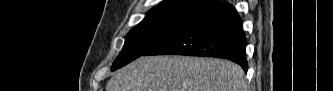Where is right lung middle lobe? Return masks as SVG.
Wrapping results in <instances>:
<instances>
[{"label":"right lung middle lobe","instance_id":"dd1d6c3e","mask_svg":"<svg viewBox=\"0 0 333 91\" xmlns=\"http://www.w3.org/2000/svg\"><path fill=\"white\" fill-rule=\"evenodd\" d=\"M215 3L213 0H206L200 8L204 11ZM188 21L189 19L186 18L145 17L128 33L124 47L111 70H116L144 55L182 28Z\"/></svg>","mask_w":333,"mask_h":91}]
</instances>
